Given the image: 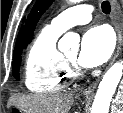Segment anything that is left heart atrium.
I'll list each match as a JSON object with an SVG mask.
<instances>
[{
	"mask_svg": "<svg viewBox=\"0 0 123 113\" xmlns=\"http://www.w3.org/2000/svg\"><path fill=\"white\" fill-rule=\"evenodd\" d=\"M114 48L111 31L104 26L88 29L81 42L78 61L84 67H96L106 62Z\"/></svg>",
	"mask_w": 123,
	"mask_h": 113,
	"instance_id": "1",
	"label": "left heart atrium"
}]
</instances>
